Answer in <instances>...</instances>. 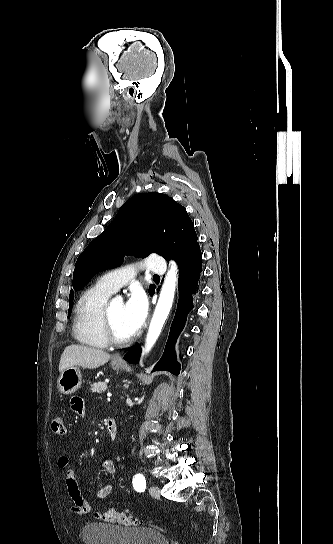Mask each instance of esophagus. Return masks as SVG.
<instances>
[{
    "instance_id": "1",
    "label": "esophagus",
    "mask_w": 333,
    "mask_h": 544,
    "mask_svg": "<svg viewBox=\"0 0 333 544\" xmlns=\"http://www.w3.org/2000/svg\"><path fill=\"white\" fill-rule=\"evenodd\" d=\"M113 359L118 362H123V358L120 354H116Z\"/></svg>"
}]
</instances>
